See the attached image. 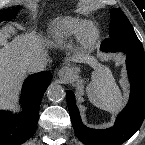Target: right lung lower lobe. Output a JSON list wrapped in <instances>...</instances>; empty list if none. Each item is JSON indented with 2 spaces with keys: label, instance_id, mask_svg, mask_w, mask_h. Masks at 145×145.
Masks as SVG:
<instances>
[{
  "label": "right lung lower lobe",
  "instance_id": "98d812e1",
  "mask_svg": "<svg viewBox=\"0 0 145 145\" xmlns=\"http://www.w3.org/2000/svg\"><path fill=\"white\" fill-rule=\"evenodd\" d=\"M51 72L30 75L22 86V105L19 115L0 110V145H21L36 131L42 97L51 82Z\"/></svg>",
  "mask_w": 145,
  "mask_h": 145
}]
</instances>
